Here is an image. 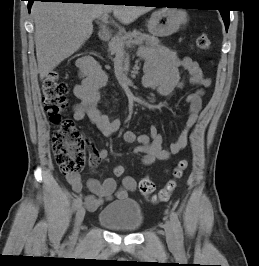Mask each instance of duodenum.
<instances>
[{
	"label": "duodenum",
	"mask_w": 259,
	"mask_h": 266,
	"mask_svg": "<svg viewBox=\"0 0 259 266\" xmlns=\"http://www.w3.org/2000/svg\"><path fill=\"white\" fill-rule=\"evenodd\" d=\"M111 37V32L110 30L108 29H102L100 32H99V38L100 40L102 41H107L109 40ZM91 60L90 59H86V61L83 63V68L88 71L90 70L91 68Z\"/></svg>",
	"instance_id": "1"
}]
</instances>
